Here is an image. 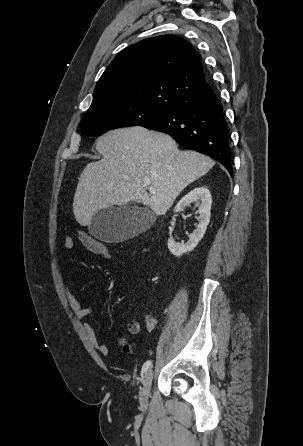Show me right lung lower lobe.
<instances>
[{
  "label": "right lung lower lobe",
  "mask_w": 303,
  "mask_h": 446,
  "mask_svg": "<svg viewBox=\"0 0 303 446\" xmlns=\"http://www.w3.org/2000/svg\"><path fill=\"white\" fill-rule=\"evenodd\" d=\"M141 126L169 134L181 146L214 158L232 176L228 127L213 90L182 102Z\"/></svg>",
  "instance_id": "right-lung-lower-lobe-1"
}]
</instances>
